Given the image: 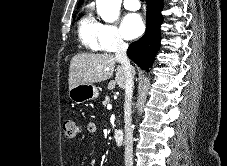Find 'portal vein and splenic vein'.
<instances>
[{"mask_svg":"<svg viewBox=\"0 0 227 166\" xmlns=\"http://www.w3.org/2000/svg\"><path fill=\"white\" fill-rule=\"evenodd\" d=\"M107 109H109V110L112 109V105L111 104H108L107 105Z\"/></svg>","mask_w":227,"mask_h":166,"instance_id":"obj_1","label":"portal vein and splenic vein"}]
</instances>
